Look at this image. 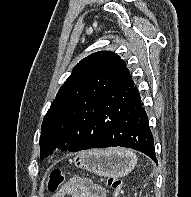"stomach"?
Wrapping results in <instances>:
<instances>
[{
    "mask_svg": "<svg viewBox=\"0 0 191 197\" xmlns=\"http://www.w3.org/2000/svg\"><path fill=\"white\" fill-rule=\"evenodd\" d=\"M119 150V148H111L83 151L74 158V164L99 176L124 177L134 168L135 162Z\"/></svg>",
    "mask_w": 191,
    "mask_h": 197,
    "instance_id": "1",
    "label": "stomach"
}]
</instances>
